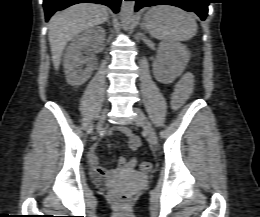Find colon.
Returning a JSON list of instances; mask_svg holds the SVG:
<instances>
[{"mask_svg": "<svg viewBox=\"0 0 260 217\" xmlns=\"http://www.w3.org/2000/svg\"><path fill=\"white\" fill-rule=\"evenodd\" d=\"M140 169L144 172H149L152 169V165L149 162H142L140 164ZM113 199L116 204L120 206H126L130 198L126 193L118 192L113 194Z\"/></svg>", "mask_w": 260, "mask_h": 217, "instance_id": "5ec220e1", "label": "colon"}]
</instances>
